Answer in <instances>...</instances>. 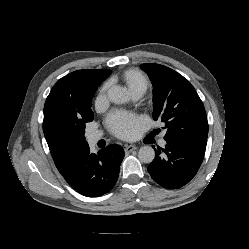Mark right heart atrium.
Listing matches in <instances>:
<instances>
[{"instance_id": "d8ad5b80", "label": "right heart atrium", "mask_w": 249, "mask_h": 249, "mask_svg": "<svg viewBox=\"0 0 249 249\" xmlns=\"http://www.w3.org/2000/svg\"><path fill=\"white\" fill-rule=\"evenodd\" d=\"M108 89H109V83H105L101 86L96 99L98 105H101L105 101Z\"/></svg>"}]
</instances>
